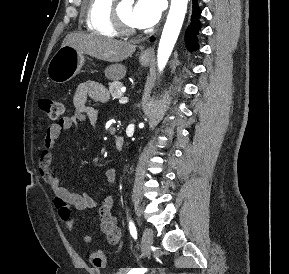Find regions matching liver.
Instances as JSON below:
<instances>
[{"label":"liver","mask_w":289,"mask_h":274,"mask_svg":"<svg viewBox=\"0 0 289 274\" xmlns=\"http://www.w3.org/2000/svg\"><path fill=\"white\" fill-rule=\"evenodd\" d=\"M66 45L97 59L115 63L105 71L107 77L112 80H120L126 75V67L119 62L131 56L136 50V46L130 43L82 33L68 34L62 46Z\"/></svg>","instance_id":"1"}]
</instances>
